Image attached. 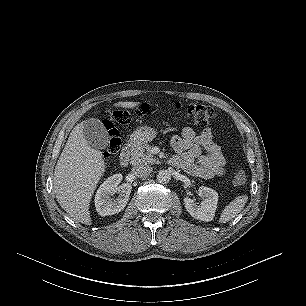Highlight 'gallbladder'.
<instances>
[{
	"label": "gallbladder",
	"instance_id": "obj_1",
	"mask_svg": "<svg viewBox=\"0 0 306 306\" xmlns=\"http://www.w3.org/2000/svg\"><path fill=\"white\" fill-rule=\"evenodd\" d=\"M83 134L92 148L103 149L109 143L108 132L98 119L91 118L84 121Z\"/></svg>",
	"mask_w": 306,
	"mask_h": 306
}]
</instances>
